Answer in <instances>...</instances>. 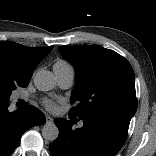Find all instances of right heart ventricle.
Returning <instances> with one entry per match:
<instances>
[{
	"mask_svg": "<svg viewBox=\"0 0 156 156\" xmlns=\"http://www.w3.org/2000/svg\"><path fill=\"white\" fill-rule=\"evenodd\" d=\"M56 63L59 64V65H68V63H66L64 61H57Z\"/></svg>",
	"mask_w": 156,
	"mask_h": 156,
	"instance_id": "right-heart-ventricle-1",
	"label": "right heart ventricle"
}]
</instances>
